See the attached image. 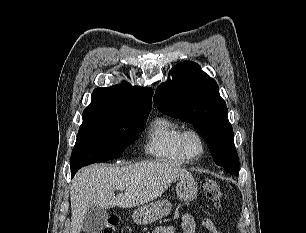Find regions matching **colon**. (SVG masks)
<instances>
[{"mask_svg": "<svg viewBox=\"0 0 306 233\" xmlns=\"http://www.w3.org/2000/svg\"><path fill=\"white\" fill-rule=\"evenodd\" d=\"M201 189L205 196L215 204H219L221 201V191L217 182L213 179H204L201 182ZM118 225V219L116 217H110L106 224L97 233H115ZM160 230H155L154 233H160Z\"/></svg>", "mask_w": 306, "mask_h": 233, "instance_id": "5ec220e1", "label": "colon"}]
</instances>
